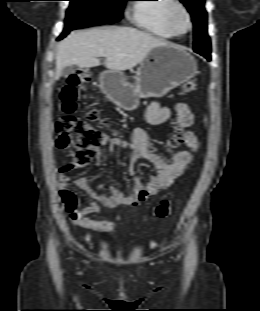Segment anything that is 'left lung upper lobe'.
<instances>
[{"label": "left lung upper lobe", "mask_w": 260, "mask_h": 311, "mask_svg": "<svg viewBox=\"0 0 260 311\" xmlns=\"http://www.w3.org/2000/svg\"><path fill=\"white\" fill-rule=\"evenodd\" d=\"M189 10L194 23V51L211 52L210 39L207 34V13L205 0H180Z\"/></svg>", "instance_id": "1"}]
</instances>
